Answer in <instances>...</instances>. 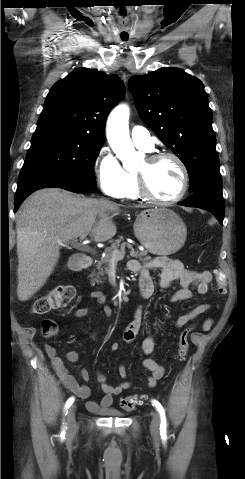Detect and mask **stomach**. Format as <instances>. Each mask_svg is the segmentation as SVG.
Masks as SVG:
<instances>
[{
	"label": "stomach",
	"instance_id": "1",
	"mask_svg": "<svg viewBox=\"0 0 245 479\" xmlns=\"http://www.w3.org/2000/svg\"><path fill=\"white\" fill-rule=\"evenodd\" d=\"M140 243L152 254L170 255L185 243L187 229L183 220L167 208L141 211L133 225Z\"/></svg>",
	"mask_w": 245,
	"mask_h": 479
}]
</instances>
